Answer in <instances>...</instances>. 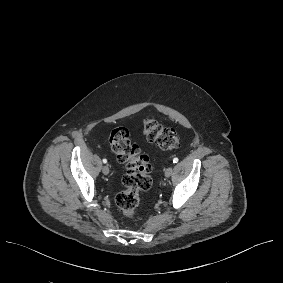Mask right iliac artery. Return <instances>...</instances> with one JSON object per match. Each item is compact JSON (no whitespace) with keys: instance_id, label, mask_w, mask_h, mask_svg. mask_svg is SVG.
Here are the masks:
<instances>
[{"instance_id":"right-iliac-artery-1","label":"right iliac artery","mask_w":283,"mask_h":283,"mask_svg":"<svg viewBox=\"0 0 283 283\" xmlns=\"http://www.w3.org/2000/svg\"><path fill=\"white\" fill-rule=\"evenodd\" d=\"M103 163H107V160H106V159H103Z\"/></svg>"}]
</instances>
